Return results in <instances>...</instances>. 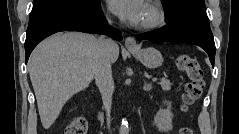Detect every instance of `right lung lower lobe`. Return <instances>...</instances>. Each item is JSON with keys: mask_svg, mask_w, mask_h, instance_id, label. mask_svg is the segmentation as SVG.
<instances>
[{"mask_svg": "<svg viewBox=\"0 0 239 134\" xmlns=\"http://www.w3.org/2000/svg\"><path fill=\"white\" fill-rule=\"evenodd\" d=\"M104 17L99 2L80 0H54L33 10L29 17L25 52L26 63L35 46L44 38L59 31L105 33L121 40L117 29L103 24Z\"/></svg>", "mask_w": 239, "mask_h": 134, "instance_id": "obj_1", "label": "right lung lower lobe"}]
</instances>
